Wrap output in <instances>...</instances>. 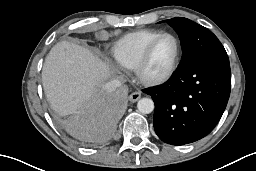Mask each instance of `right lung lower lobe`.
I'll use <instances>...</instances> for the list:
<instances>
[{
  "instance_id": "98d812e1",
  "label": "right lung lower lobe",
  "mask_w": 256,
  "mask_h": 171,
  "mask_svg": "<svg viewBox=\"0 0 256 171\" xmlns=\"http://www.w3.org/2000/svg\"><path fill=\"white\" fill-rule=\"evenodd\" d=\"M127 102L124 90L104 93L92 106L74 115L64 126L68 133L86 143H104L116 130Z\"/></svg>"
}]
</instances>
